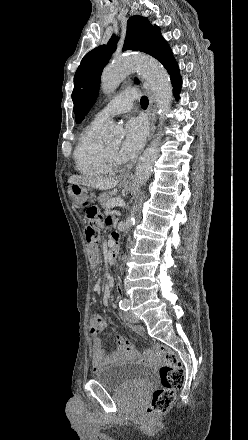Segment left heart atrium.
Wrapping results in <instances>:
<instances>
[{"label": "left heart atrium", "instance_id": "1", "mask_svg": "<svg viewBox=\"0 0 248 440\" xmlns=\"http://www.w3.org/2000/svg\"><path fill=\"white\" fill-rule=\"evenodd\" d=\"M147 137V127L143 119L132 117L125 124V135L119 149L122 160L134 158L142 149Z\"/></svg>", "mask_w": 248, "mask_h": 440}]
</instances>
